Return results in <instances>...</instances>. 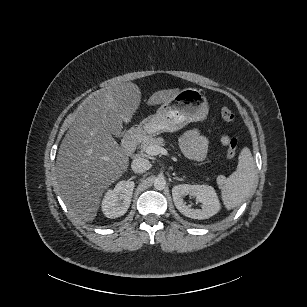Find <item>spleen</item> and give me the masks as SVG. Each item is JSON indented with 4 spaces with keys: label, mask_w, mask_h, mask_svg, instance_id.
Instances as JSON below:
<instances>
[{
    "label": "spleen",
    "mask_w": 307,
    "mask_h": 307,
    "mask_svg": "<svg viewBox=\"0 0 307 307\" xmlns=\"http://www.w3.org/2000/svg\"><path fill=\"white\" fill-rule=\"evenodd\" d=\"M257 186L255 164L252 154L244 149L239 157L236 170L226 178L222 187V196L228 208L236 207L245 198L252 195Z\"/></svg>",
    "instance_id": "1"
}]
</instances>
